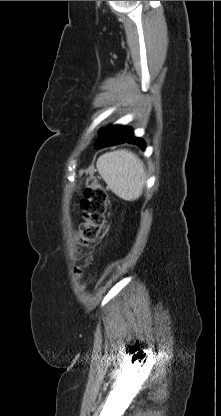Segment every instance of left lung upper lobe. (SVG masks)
Here are the masks:
<instances>
[{
  "label": "left lung upper lobe",
  "instance_id": "5c2ea615",
  "mask_svg": "<svg viewBox=\"0 0 221 416\" xmlns=\"http://www.w3.org/2000/svg\"><path fill=\"white\" fill-rule=\"evenodd\" d=\"M130 132L131 130L128 128H125L124 126H111L102 131V134L100 138L98 139V141H100L101 143L114 141L117 138L128 135Z\"/></svg>",
  "mask_w": 221,
  "mask_h": 416
}]
</instances>
